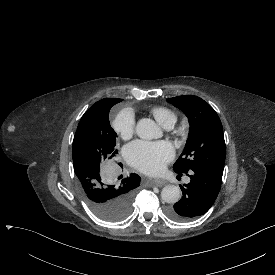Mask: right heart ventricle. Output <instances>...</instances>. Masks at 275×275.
<instances>
[{"instance_id":"e07e8e85","label":"right heart ventricle","mask_w":275,"mask_h":275,"mask_svg":"<svg viewBox=\"0 0 275 275\" xmlns=\"http://www.w3.org/2000/svg\"><path fill=\"white\" fill-rule=\"evenodd\" d=\"M151 112L156 121L163 127L167 124L174 125L176 122V115L166 107H155Z\"/></svg>"}]
</instances>
